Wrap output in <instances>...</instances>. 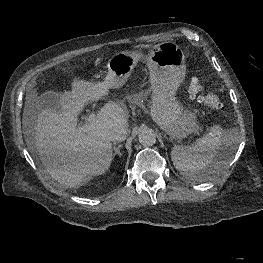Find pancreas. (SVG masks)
<instances>
[{
    "label": "pancreas",
    "mask_w": 263,
    "mask_h": 263,
    "mask_svg": "<svg viewBox=\"0 0 263 263\" xmlns=\"http://www.w3.org/2000/svg\"><path fill=\"white\" fill-rule=\"evenodd\" d=\"M128 100L135 105H142L143 101L146 99V95L144 93H137L133 95H129Z\"/></svg>",
    "instance_id": "cf45deb5"
}]
</instances>
